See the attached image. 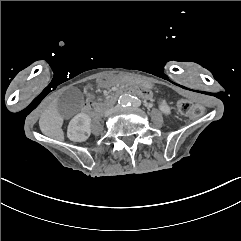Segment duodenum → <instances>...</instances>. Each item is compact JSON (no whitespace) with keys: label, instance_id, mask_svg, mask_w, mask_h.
Returning a JSON list of instances; mask_svg holds the SVG:
<instances>
[{"label":"duodenum","instance_id":"obj_1","mask_svg":"<svg viewBox=\"0 0 241 241\" xmlns=\"http://www.w3.org/2000/svg\"><path fill=\"white\" fill-rule=\"evenodd\" d=\"M125 93H135L142 97L147 98L149 96V92L145 89L129 86L121 90H117L111 95L107 97V99L104 101V103L90 107L89 112L94 118H99L102 116L104 110L108 107H110L113 102L120 96H122Z\"/></svg>","mask_w":241,"mask_h":241}]
</instances>
